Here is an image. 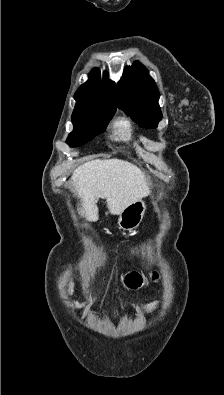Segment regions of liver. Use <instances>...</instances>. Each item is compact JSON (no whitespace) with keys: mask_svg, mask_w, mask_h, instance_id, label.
I'll return each mask as SVG.
<instances>
[{"mask_svg":"<svg viewBox=\"0 0 224 395\" xmlns=\"http://www.w3.org/2000/svg\"><path fill=\"white\" fill-rule=\"evenodd\" d=\"M81 199V214L98 220L97 200L106 199L111 214H120L129 204L149 193L144 172L121 159H96L77 167L70 180Z\"/></svg>","mask_w":224,"mask_h":395,"instance_id":"1","label":"liver"}]
</instances>
